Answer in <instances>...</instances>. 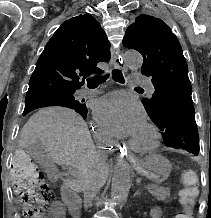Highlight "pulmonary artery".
Instances as JSON below:
<instances>
[{"instance_id": "pulmonary-artery-1", "label": "pulmonary artery", "mask_w": 211, "mask_h": 218, "mask_svg": "<svg viewBox=\"0 0 211 218\" xmlns=\"http://www.w3.org/2000/svg\"><path fill=\"white\" fill-rule=\"evenodd\" d=\"M128 85H143V89L147 91L148 95H157L156 84H151L150 80H146V75L141 74H129ZM134 80V81H133ZM102 92L101 89H89L84 88L79 91V98H91L99 95Z\"/></svg>"}]
</instances>
